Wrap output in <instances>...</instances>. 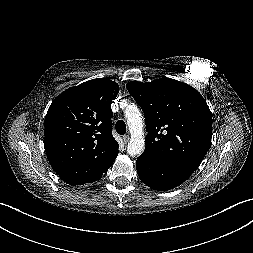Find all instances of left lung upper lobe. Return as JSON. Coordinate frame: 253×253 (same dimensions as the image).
<instances>
[{
	"mask_svg": "<svg viewBox=\"0 0 253 253\" xmlns=\"http://www.w3.org/2000/svg\"><path fill=\"white\" fill-rule=\"evenodd\" d=\"M126 87L144 112L148 134L143 153L165 167L196 170L212 138L211 112L202 95L170 78Z\"/></svg>",
	"mask_w": 253,
	"mask_h": 253,
	"instance_id": "obj_1",
	"label": "left lung upper lobe"
}]
</instances>
